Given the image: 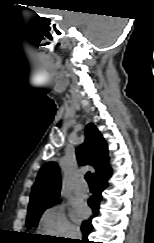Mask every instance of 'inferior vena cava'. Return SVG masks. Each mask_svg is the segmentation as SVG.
<instances>
[{
	"label": "inferior vena cava",
	"instance_id": "1",
	"mask_svg": "<svg viewBox=\"0 0 154 243\" xmlns=\"http://www.w3.org/2000/svg\"><path fill=\"white\" fill-rule=\"evenodd\" d=\"M68 235L71 239H80L81 240V232L77 228H71L68 231Z\"/></svg>",
	"mask_w": 154,
	"mask_h": 243
}]
</instances>
